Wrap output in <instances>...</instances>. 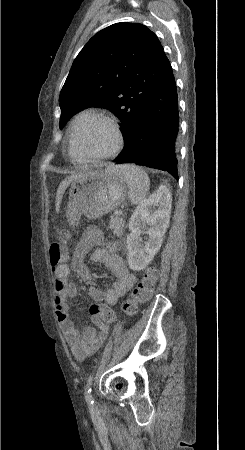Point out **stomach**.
<instances>
[{"label": "stomach", "instance_id": "0dacf381", "mask_svg": "<svg viewBox=\"0 0 245 450\" xmlns=\"http://www.w3.org/2000/svg\"><path fill=\"white\" fill-rule=\"evenodd\" d=\"M127 196V184L117 167L90 171L75 179L69 190L67 221L76 226L82 215L97 219L115 210Z\"/></svg>", "mask_w": 245, "mask_h": 450}]
</instances>
